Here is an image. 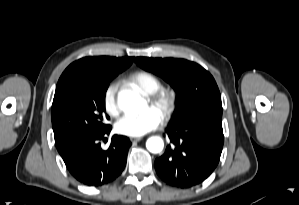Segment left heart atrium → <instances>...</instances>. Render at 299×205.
Returning <instances> with one entry per match:
<instances>
[{"label":"left heart atrium","mask_w":299,"mask_h":205,"mask_svg":"<svg viewBox=\"0 0 299 205\" xmlns=\"http://www.w3.org/2000/svg\"><path fill=\"white\" fill-rule=\"evenodd\" d=\"M160 123L159 113L153 108H147L137 115L123 116L117 121L115 129L125 136L141 137L156 129Z\"/></svg>","instance_id":"left-heart-atrium-1"}]
</instances>
